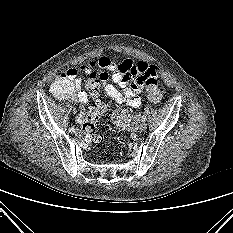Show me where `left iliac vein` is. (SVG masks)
Returning a JSON list of instances; mask_svg holds the SVG:
<instances>
[{
	"mask_svg": "<svg viewBox=\"0 0 233 233\" xmlns=\"http://www.w3.org/2000/svg\"><path fill=\"white\" fill-rule=\"evenodd\" d=\"M145 129H146L145 122H142L137 128L138 132H140V133L143 132Z\"/></svg>",
	"mask_w": 233,
	"mask_h": 233,
	"instance_id": "4c4485c4",
	"label": "left iliac vein"
}]
</instances>
